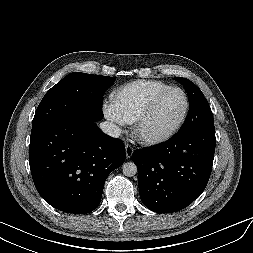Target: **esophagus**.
Here are the masks:
<instances>
[{
	"label": "esophagus",
	"instance_id": "1",
	"mask_svg": "<svg viewBox=\"0 0 253 253\" xmlns=\"http://www.w3.org/2000/svg\"><path fill=\"white\" fill-rule=\"evenodd\" d=\"M133 151H134V149L131 145H129V144L125 145V154H126L127 159L131 158Z\"/></svg>",
	"mask_w": 253,
	"mask_h": 253
}]
</instances>
